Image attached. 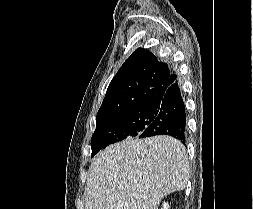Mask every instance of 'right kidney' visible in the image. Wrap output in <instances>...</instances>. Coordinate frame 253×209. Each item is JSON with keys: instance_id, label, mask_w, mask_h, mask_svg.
<instances>
[{"instance_id": "1", "label": "right kidney", "mask_w": 253, "mask_h": 209, "mask_svg": "<svg viewBox=\"0 0 253 209\" xmlns=\"http://www.w3.org/2000/svg\"><path fill=\"white\" fill-rule=\"evenodd\" d=\"M162 209H169V204L168 203H166V202H164V204H163V208Z\"/></svg>"}]
</instances>
